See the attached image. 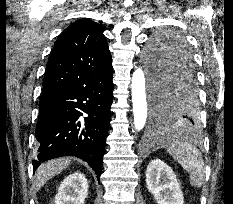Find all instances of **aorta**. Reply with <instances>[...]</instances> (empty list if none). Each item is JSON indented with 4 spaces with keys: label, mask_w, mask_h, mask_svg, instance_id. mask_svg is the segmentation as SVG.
Here are the masks:
<instances>
[{
    "label": "aorta",
    "mask_w": 233,
    "mask_h": 204,
    "mask_svg": "<svg viewBox=\"0 0 233 204\" xmlns=\"http://www.w3.org/2000/svg\"><path fill=\"white\" fill-rule=\"evenodd\" d=\"M132 103H133V115L135 129L140 131L144 128L147 116V99H146V86L145 75L142 68H137L132 75ZM166 105H161L162 112L167 110Z\"/></svg>",
    "instance_id": "aorta-1"
}]
</instances>
